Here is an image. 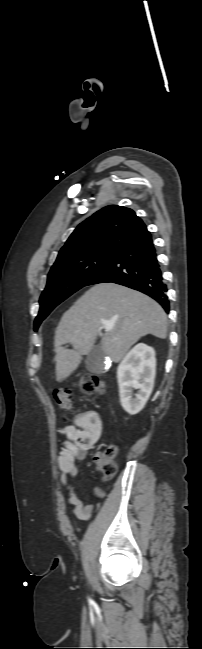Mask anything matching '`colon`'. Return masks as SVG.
<instances>
[{
  "instance_id": "5ec220e1",
  "label": "colon",
  "mask_w": 202,
  "mask_h": 649,
  "mask_svg": "<svg viewBox=\"0 0 202 649\" xmlns=\"http://www.w3.org/2000/svg\"><path fill=\"white\" fill-rule=\"evenodd\" d=\"M79 387L83 392L92 394L103 392L105 389V384L97 376L87 375L80 379ZM54 399L57 405L63 410L68 412L73 410V402L70 390L63 388L56 389L54 391ZM117 453L118 448L112 445L107 447L104 451L95 453L93 457L95 465L106 479H110L116 474L117 466L114 462V458Z\"/></svg>"
}]
</instances>
